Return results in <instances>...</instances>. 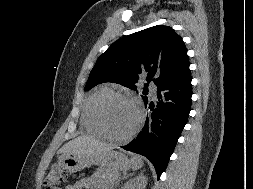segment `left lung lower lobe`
I'll list each match as a JSON object with an SVG mask.
<instances>
[{"label": "left lung lower lobe", "mask_w": 253, "mask_h": 189, "mask_svg": "<svg viewBox=\"0 0 253 189\" xmlns=\"http://www.w3.org/2000/svg\"><path fill=\"white\" fill-rule=\"evenodd\" d=\"M188 57L178 71L157 90V105L138 136L123 149L146 156L158 179L164 172L191 110V73ZM148 103V102H147ZM145 103V104H147Z\"/></svg>", "instance_id": "left-lung-lower-lobe-1"}]
</instances>
